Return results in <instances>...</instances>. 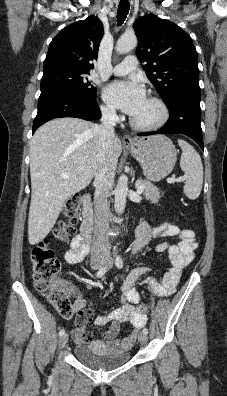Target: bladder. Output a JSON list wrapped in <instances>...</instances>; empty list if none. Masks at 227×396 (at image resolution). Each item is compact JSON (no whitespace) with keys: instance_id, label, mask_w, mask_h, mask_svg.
Masks as SVG:
<instances>
[{"instance_id":"31cf9c89","label":"bladder","mask_w":227,"mask_h":396,"mask_svg":"<svg viewBox=\"0 0 227 396\" xmlns=\"http://www.w3.org/2000/svg\"><path fill=\"white\" fill-rule=\"evenodd\" d=\"M76 359L93 370L108 371L119 368L130 360L127 351L110 352L97 344H79L74 347Z\"/></svg>"}]
</instances>
